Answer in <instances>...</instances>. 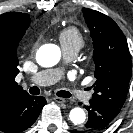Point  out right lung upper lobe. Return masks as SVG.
I'll return each mask as SVG.
<instances>
[{
  "label": "right lung upper lobe",
  "instance_id": "1",
  "mask_svg": "<svg viewBox=\"0 0 133 133\" xmlns=\"http://www.w3.org/2000/svg\"><path fill=\"white\" fill-rule=\"evenodd\" d=\"M30 22L26 13L0 15V116L16 98L28 94L17 85L15 77L19 73L16 48Z\"/></svg>",
  "mask_w": 133,
  "mask_h": 133
}]
</instances>
